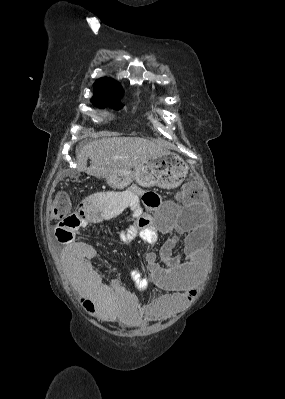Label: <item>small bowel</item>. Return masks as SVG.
<instances>
[{
  "instance_id": "small-bowel-1",
  "label": "small bowel",
  "mask_w": 285,
  "mask_h": 399,
  "mask_svg": "<svg viewBox=\"0 0 285 399\" xmlns=\"http://www.w3.org/2000/svg\"><path fill=\"white\" fill-rule=\"evenodd\" d=\"M142 190L131 187L123 192L93 195L82 200L76 215L79 223L62 224L59 229L77 232L80 228H97L124 210H131L135 220L143 217L146 221L141 239L148 244L164 232L174 235L162 247L160 252H149L145 256L146 267L151 273L147 281L137 270L131 271V277L139 283L141 289L152 287L165 291L150 303H141L137 295L126 289L118 279L111 284L105 283L93 269L92 263L97 257V250L86 241L66 243L61 249V259L73 285L79 291V301L86 309L103 321H123L131 325H142L152 320L166 318L174 311L187 304L196 290V281L204 267V256L201 246V232H190L183 236L181 226L173 223L161 229L151 220V213L160 210L161 205L145 211L139 198ZM193 209V208H191ZM179 244L184 245V253L173 256L172 252ZM166 263V266L160 264Z\"/></svg>"
}]
</instances>
